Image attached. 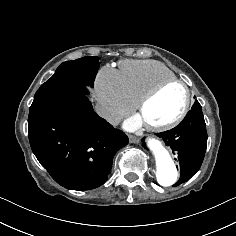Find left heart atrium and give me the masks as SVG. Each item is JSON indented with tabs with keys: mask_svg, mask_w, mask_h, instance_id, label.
<instances>
[{
	"mask_svg": "<svg viewBox=\"0 0 236 236\" xmlns=\"http://www.w3.org/2000/svg\"><path fill=\"white\" fill-rule=\"evenodd\" d=\"M144 122L140 114H136L125 122V127L129 130H139Z\"/></svg>",
	"mask_w": 236,
	"mask_h": 236,
	"instance_id": "39dd6f15",
	"label": "left heart atrium"
}]
</instances>
